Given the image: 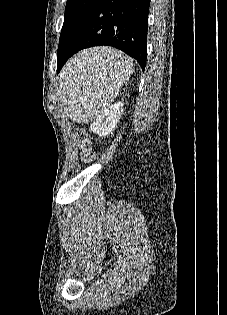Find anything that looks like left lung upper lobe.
<instances>
[{"label":"left lung upper lobe","mask_w":227,"mask_h":315,"mask_svg":"<svg viewBox=\"0 0 227 315\" xmlns=\"http://www.w3.org/2000/svg\"><path fill=\"white\" fill-rule=\"evenodd\" d=\"M99 0H67L58 52L65 47L78 25L88 16Z\"/></svg>","instance_id":"5c2ea615"}]
</instances>
